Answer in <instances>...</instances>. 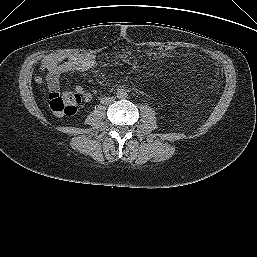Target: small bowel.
I'll list each match as a JSON object with an SVG mask.
<instances>
[{
  "instance_id": "obj_1",
  "label": "small bowel",
  "mask_w": 257,
  "mask_h": 257,
  "mask_svg": "<svg viewBox=\"0 0 257 257\" xmlns=\"http://www.w3.org/2000/svg\"><path fill=\"white\" fill-rule=\"evenodd\" d=\"M96 57L93 54L64 55L60 53L45 56L40 64L43 75H37L38 83L45 82L49 91H58L61 75L70 72H85L96 66ZM75 90L81 94L85 101H89L91 94L81 86Z\"/></svg>"
}]
</instances>
